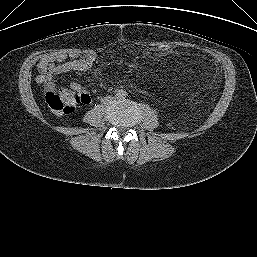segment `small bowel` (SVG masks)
<instances>
[{"mask_svg":"<svg viewBox=\"0 0 257 257\" xmlns=\"http://www.w3.org/2000/svg\"><path fill=\"white\" fill-rule=\"evenodd\" d=\"M96 61L94 54L71 55L63 53H48L42 56L37 69L36 81L44 84L48 89L57 87L58 78L69 72H85L90 70ZM69 87L77 93L86 97V103L90 102V95L85 88L77 82H69Z\"/></svg>","mask_w":257,"mask_h":257,"instance_id":"c3829d8e","label":"small bowel"}]
</instances>
